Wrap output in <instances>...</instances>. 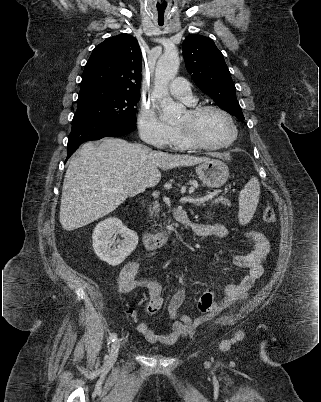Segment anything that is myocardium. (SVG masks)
Segmentation results:
<instances>
[{"label":"myocardium","instance_id":"f54148a6","mask_svg":"<svg viewBox=\"0 0 321 402\" xmlns=\"http://www.w3.org/2000/svg\"><path fill=\"white\" fill-rule=\"evenodd\" d=\"M207 110L217 111L228 120V122L231 126V129H232L231 137L227 141L219 143V144H207V143H204L203 141L199 140L191 129L184 128L182 126H177V130L181 134L184 142L192 148L207 150V151L219 150V149H223V148H227V147L231 146L238 137V128H237V125H236L232 115L229 112H227L222 107H220L218 105H214V104L195 105V106L190 107L187 111L189 112V114L191 116L195 117Z\"/></svg>","mask_w":321,"mask_h":402}]
</instances>
